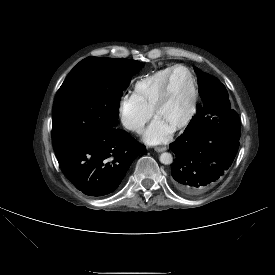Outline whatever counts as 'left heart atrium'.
<instances>
[{"instance_id":"obj_1","label":"left heart atrium","mask_w":275,"mask_h":275,"mask_svg":"<svg viewBox=\"0 0 275 275\" xmlns=\"http://www.w3.org/2000/svg\"><path fill=\"white\" fill-rule=\"evenodd\" d=\"M173 132V128L156 116L143 133V140L149 145L166 142Z\"/></svg>"}]
</instances>
